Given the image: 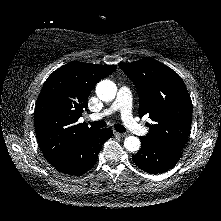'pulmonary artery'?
Returning <instances> with one entry per match:
<instances>
[{
  "label": "pulmonary artery",
  "instance_id": "1",
  "mask_svg": "<svg viewBox=\"0 0 221 221\" xmlns=\"http://www.w3.org/2000/svg\"><path fill=\"white\" fill-rule=\"evenodd\" d=\"M132 98L129 88L123 86L119 89L116 99L108 107L100 113H95L90 116L92 120H98L103 117L109 116L112 113L119 111L121 113V118L128 130L136 135H146L148 129L140 124L132 115L131 110Z\"/></svg>",
  "mask_w": 221,
  "mask_h": 221
}]
</instances>
